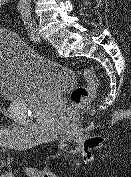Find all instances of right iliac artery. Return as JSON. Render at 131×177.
Instances as JSON below:
<instances>
[{"label": "right iliac artery", "mask_w": 131, "mask_h": 177, "mask_svg": "<svg viewBox=\"0 0 131 177\" xmlns=\"http://www.w3.org/2000/svg\"><path fill=\"white\" fill-rule=\"evenodd\" d=\"M26 9H27V6L25 4H21V5L18 6V10L21 11V12L26 10Z\"/></svg>", "instance_id": "obj_1"}]
</instances>
